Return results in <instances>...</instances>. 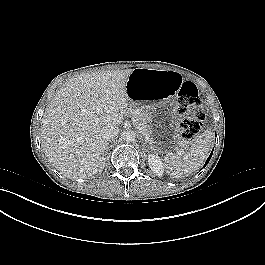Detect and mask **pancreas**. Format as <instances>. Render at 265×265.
Segmentation results:
<instances>
[{
    "label": "pancreas",
    "mask_w": 265,
    "mask_h": 265,
    "mask_svg": "<svg viewBox=\"0 0 265 265\" xmlns=\"http://www.w3.org/2000/svg\"><path fill=\"white\" fill-rule=\"evenodd\" d=\"M126 113L132 117V119L134 120V124L138 128H141L143 133L148 134V128L146 125L147 114L144 110L128 109Z\"/></svg>",
    "instance_id": "obj_1"
}]
</instances>
